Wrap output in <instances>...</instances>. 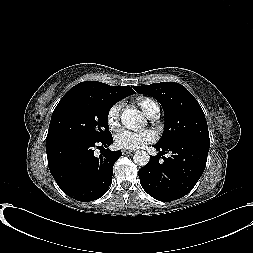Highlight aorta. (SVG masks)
Listing matches in <instances>:
<instances>
[{
  "label": "aorta",
  "instance_id": "762f6f07",
  "mask_svg": "<svg viewBox=\"0 0 253 253\" xmlns=\"http://www.w3.org/2000/svg\"><path fill=\"white\" fill-rule=\"evenodd\" d=\"M122 124L131 130L137 131L145 126V119L136 109H125L121 115ZM133 161L139 166H145L150 161V156L145 151H137L133 156Z\"/></svg>",
  "mask_w": 253,
  "mask_h": 253
}]
</instances>
